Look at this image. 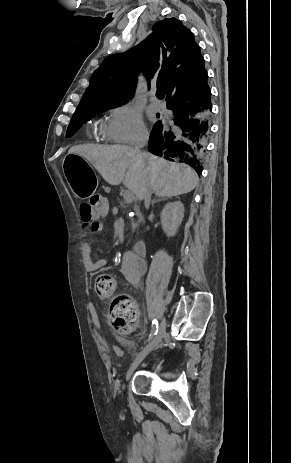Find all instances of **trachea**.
I'll return each mask as SVG.
<instances>
[{
  "label": "trachea",
  "mask_w": 291,
  "mask_h": 463,
  "mask_svg": "<svg viewBox=\"0 0 291 463\" xmlns=\"http://www.w3.org/2000/svg\"><path fill=\"white\" fill-rule=\"evenodd\" d=\"M165 96V93L164 92H157V97L160 98V99H163Z\"/></svg>",
  "instance_id": "obj_1"
}]
</instances>
